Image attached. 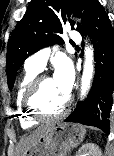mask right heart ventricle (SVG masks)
Returning <instances> with one entry per match:
<instances>
[{
  "mask_svg": "<svg viewBox=\"0 0 114 156\" xmlns=\"http://www.w3.org/2000/svg\"><path fill=\"white\" fill-rule=\"evenodd\" d=\"M39 70L25 66V70L18 81L15 92L16 114L19 118L20 125L24 129L35 126L38 120L32 118L24 107L23 99L27 87L31 81L39 74Z\"/></svg>",
  "mask_w": 114,
  "mask_h": 156,
  "instance_id": "obj_1",
  "label": "right heart ventricle"
}]
</instances>
